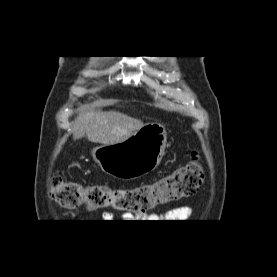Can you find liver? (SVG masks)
<instances>
[{"instance_id": "liver-1", "label": "liver", "mask_w": 277, "mask_h": 277, "mask_svg": "<svg viewBox=\"0 0 277 277\" xmlns=\"http://www.w3.org/2000/svg\"><path fill=\"white\" fill-rule=\"evenodd\" d=\"M144 126L143 122L115 111L81 112L73 125V139L85 135L90 142L103 145L122 142Z\"/></svg>"}]
</instances>
